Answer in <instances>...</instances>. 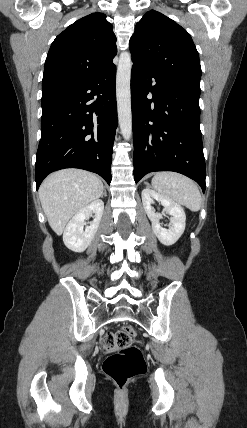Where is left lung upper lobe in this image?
Returning a JSON list of instances; mask_svg holds the SVG:
<instances>
[{"label": "left lung upper lobe", "instance_id": "left-lung-upper-lobe-1", "mask_svg": "<svg viewBox=\"0 0 247 428\" xmlns=\"http://www.w3.org/2000/svg\"><path fill=\"white\" fill-rule=\"evenodd\" d=\"M132 61L150 67L166 80L200 90L199 54L190 34L160 12H147L129 42Z\"/></svg>", "mask_w": 247, "mask_h": 428}]
</instances>
